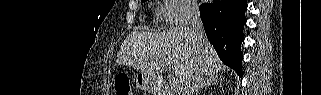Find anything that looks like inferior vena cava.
Returning <instances> with one entry per match:
<instances>
[{
  "label": "inferior vena cava",
  "instance_id": "inferior-vena-cava-1",
  "mask_svg": "<svg viewBox=\"0 0 321 95\" xmlns=\"http://www.w3.org/2000/svg\"><path fill=\"white\" fill-rule=\"evenodd\" d=\"M189 24L193 32L195 41L202 45L205 40V31L196 5H191L188 11ZM206 77L205 69L200 64L194 72L190 73L180 90L179 95H194Z\"/></svg>",
  "mask_w": 321,
  "mask_h": 95
}]
</instances>
